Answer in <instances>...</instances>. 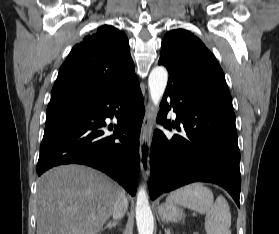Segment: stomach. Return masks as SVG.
<instances>
[{
    "instance_id": "obj_1",
    "label": "stomach",
    "mask_w": 279,
    "mask_h": 234,
    "mask_svg": "<svg viewBox=\"0 0 279 234\" xmlns=\"http://www.w3.org/2000/svg\"><path fill=\"white\" fill-rule=\"evenodd\" d=\"M159 215L166 221L176 222L184 217L183 210L176 204L167 202L158 207Z\"/></svg>"
}]
</instances>
